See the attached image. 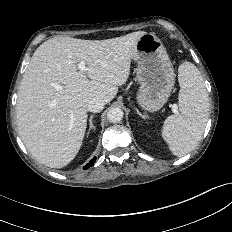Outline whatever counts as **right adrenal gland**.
<instances>
[{
  "instance_id": "obj_1",
  "label": "right adrenal gland",
  "mask_w": 232,
  "mask_h": 232,
  "mask_svg": "<svg viewBox=\"0 0 232 232\" xmlns=\"http://www.w3.org/2000/svg\"><path fill=\"white\" fill-rule=\"evenodd\" d=\"M94 117V114H91L90 115V119H89V129H88V134L90 133L91 130H95V127L93 126V123H92V119Z\"/></svg>"
}]
</instances>
